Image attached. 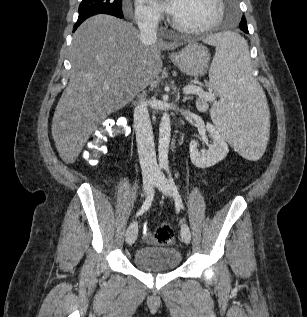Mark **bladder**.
Segmentation results:
<instances>
[{
    "mask_svg": "<svg viewBox=\"0 0 307 317\" xmlns=\"http://www.w3.org/2000/svg\"><path fill=\"white\" fill-rule=\"evenodd\" d=\"M135 266L147 273H164L177 268L181 262L179 251L171 247H144L134 255Z\"/></svg>",
    "mask_w": 307,
    "mask_h": 317,
    "instance_id": "bladder-1",
    "label": "bladder"
}]
</instances>
